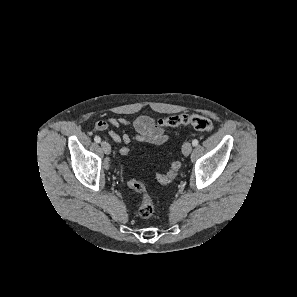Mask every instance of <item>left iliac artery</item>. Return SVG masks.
Listing matches in <instances>:
<instances>
[{
    "mask_svg": "<svg viewBox=\"0 0 297 297\" xmlns=\"http://www.w3.org/2000/svg\"><path fill=\"white\" fill-rule=\"evenodd\" d=\"M198 143H199V142H198V140H197V139H194V140L192 141V145H193V146H197V145H198Z\"/></svg>",
    "mask_w": 297,
    "mask_h": 297,
    "instance_id": "44dca946",
    "label": "left iliac artery"
}]
</instances>
